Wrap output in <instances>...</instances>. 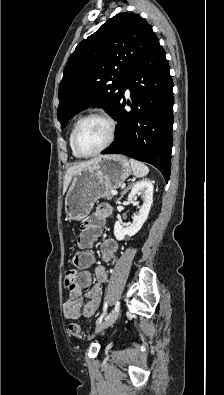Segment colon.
I'll use <instances>...</instances> for the list:
<instances>
[{"label": "colon", "mask_w": 224, "mask_h": 395, "mask_svg": "<svg viewBox=\"0 0 224 395\" xmlns=\"http://www.w3.org/2000/svg\"><path fill=\"white\" fill-rule=\"evenodd\" d=\"M65 285L69 289H74L76 282H75V271L74 270H68L65 273ZM69 333L77 338H84L86 336L85 330L82 328V326L78 323H70L69 324Z\"/></svg>", "instance_id": "1"}]
</instances>
